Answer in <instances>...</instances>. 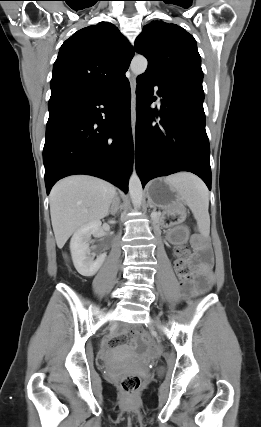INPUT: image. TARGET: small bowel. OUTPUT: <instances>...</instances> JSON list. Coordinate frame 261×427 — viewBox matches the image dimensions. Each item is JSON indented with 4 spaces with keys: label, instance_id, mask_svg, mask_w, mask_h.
Returning a JSON list of instances; mask_svg holds the SVG:
<instances>
[{
    "label": "small bowel",
    "instance_id": "obj_1",
    "mask_svg": "<svg viewBox=\"0 0 261 427\" xmlns=\"http://www.w3.org/2000/svg\"><path fill=\"white\" fill-rule=\"evenodd\" d=\"M203 284H204L203 282L199 281V286H202ZM196 289H197V288H196L195 286H193V287L187 288V289H186V292H187L188 294H191V293L195 292V290H196ZM122 342H123V341H122V338H121V337H119V336H112V337H110V338L108 339L107 344H108L110 347H115V346L120 345Z\"/></svg>",
    "mask_w": 261,
    "mask_h": 427
}]
</instances>
